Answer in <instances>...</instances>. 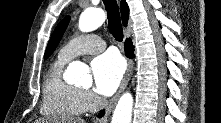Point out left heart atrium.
<instances>
[{"label":"left heart atrium","mask_w":221,"mask_h":123,"mask_svg":"<svg viewBox=\"0 0 221 123\" xmlns=\"http://www.w3.org/2000/svg\"><path fill=\"white\" fill-rule=\"evenodd\" d=\"M91 71L96 91L109 96L116 90L122 79L124 63L116 53L107 52L93 59Z\"/></svg>","instance_id":"1"}]
</instances>
